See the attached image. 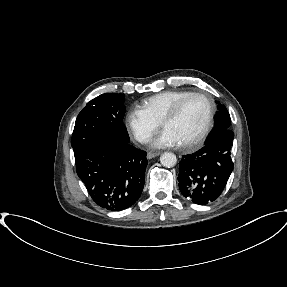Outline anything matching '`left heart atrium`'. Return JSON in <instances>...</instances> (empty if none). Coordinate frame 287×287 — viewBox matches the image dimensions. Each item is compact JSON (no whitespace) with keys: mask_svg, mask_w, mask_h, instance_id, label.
Wrapping results in <instances>:
<instances>
[{"mask_svg":"<svg viewBox=\"0 0 287 287\" xmlns=\"http://www.w3.org/2000/svg\"><path fill=\"white\" fill-rule=\"evenodd\" d=\"M178 144H180L178 138L168 129H163L152 141V146L158 148L172 147Z\"/></svg>","mask_w":287,"mask_h":287,"instance_id":"1","label":"left heart atrium"}]
</instances>
